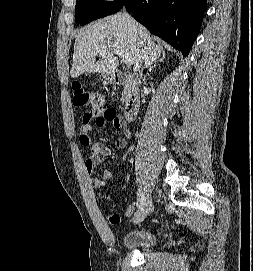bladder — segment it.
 I'll use <instances>...</instances> for the list:
<instances>
[{"instance_id":"31cf9c89","label":"bladder","mask_w":253,"mask_h":271,"mask_svg":"<svg viewBox=\"0 0 253 271\" xmlns=\"http://www.w3.org/2000/svg\"><path fill=\"white\" fill-rule=\"evenodd\" d=\"M160 240V235L155 230L137 229L124 238L123 247L132 250H150L156 247Z\"/></svg>"}]
</instances>
